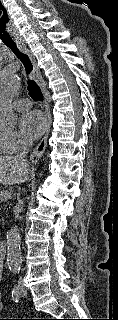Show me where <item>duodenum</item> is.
<instances>
[{
  "label": "duodenum",
  "mask_w": 118,
  "mask_h": 320,
  "mask_svg": "<svg viewBox=\"0 0 118 320\" xmlns=\"http://www.w3.org/2000/svg\"><path fill=\"white\" fill-rule=\"evenodd\" d=\"M7 254V242L6 241H0V263L4 261Z\"/></svg>",
  "instance_id": "1"
}]
</instances>
